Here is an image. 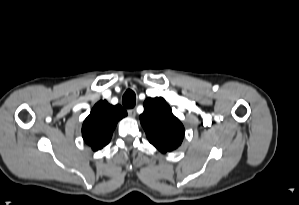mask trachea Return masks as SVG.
<instances>
[{
  "label": "trachea",
  "instance_id": "1",
  "mask_svg": "<svg viewBox=\"0 0 299 205\" xmlns=\"http://www.w3.org/2000/svg\"><path fill=\"white\" fill-rule=\"evenodd\" d=\"M123 106L127 109H131L136 104V95L132 90H127L122 98Z\"/></svg>",
  "mask_w": 299,
  "mask_h": 205
}]
</instances>
